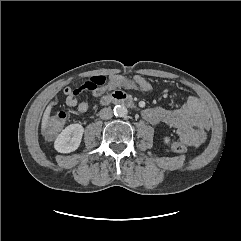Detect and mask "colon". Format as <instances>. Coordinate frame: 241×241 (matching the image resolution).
Listing matches in <instances>:
<instances>
[{
    "instance_id": "colon-1",
    "label": "colon",
    "mask_w": 241,
    "mask_h": 241,
    "mask_svg": "<svg viewBox=\"0 0 241 241\" xmlns=\"http://www.w3.org/2000/svg\"><path fill=\"white\" fill-rule=\"evenodd\" d=\"M148 82L137 76L132 78L117 77L112 78L108 82L104 76H92L83 84L72 87V94L78 96L83 91L92 92L95 95L101 94L106 91L112 93L121 92L122 89H137V90H147ZM67 120V114L64 111H59L55 113L50 119L47 120L44 131L48 137H54L63 127ZM172 150L178 154H185L187 152V147L181 142L172 143Z\"/></svg>"
}]
</instances>
